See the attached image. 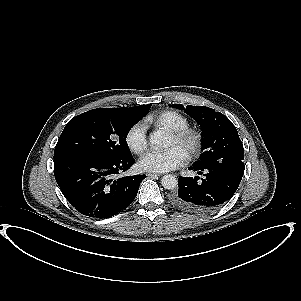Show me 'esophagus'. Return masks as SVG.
I'll use <instances>...</instances> for the list:
<instances>
[{
  "mask_svg": "<svg viewBox=\"0 0 301 301\" xmlns=\"http://www.w3.org/2000/svg\"><path fill=\"white\" fill-rule=\"evenodd\" d=\"M160 175H161V174H156V173H154V174H147V176H148L149 178H153V179L158 178Z\"/></svg>",
  "mask_w": 301,
  "mask_h": 301,
  "instance_id": "34e87169",
  "label": "esophagus"
}]
</instances>
